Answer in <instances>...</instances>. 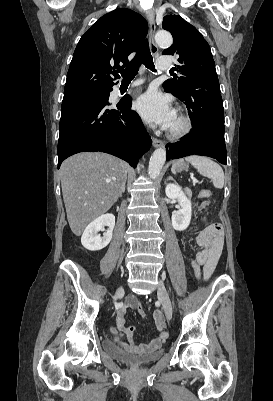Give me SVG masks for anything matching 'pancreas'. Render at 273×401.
<instances>
[{
    "mask_svg": "<svg viewBox=\"0 0 273 401\" xmlns=\"http://www.w3.org/2000/svg\"><path fill=\"white\" fill-rule=\"evenodd\" d=\"M187 194H189V196H191V194H192V192H191V190H189V188L187 190Z\"/></svg>",
    "mask_w": 273,
    "mask_h": 401,
    "instance_id": "1",
    "label": "pancreas"
}]
</instances>
